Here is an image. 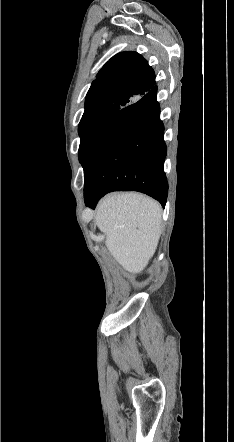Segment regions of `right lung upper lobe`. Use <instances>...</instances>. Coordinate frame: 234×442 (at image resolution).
I'll return each mask as SVG.
<instances>
[{
	"label": "right lung upper lobe",
	"instance_id": "1",
	"mask_svg": "<svg viewBox=\"0 0 234 442\" xmlns=\"http://www.w3.org/2000/svg\"><path fill=\"white\" fill-rule=\"evenodd\" d=\"M155 85V73L137 52L113 56L98 72L86 95L83 118L118 112Z\"/></svg>",
	"mask_w": 234,
	"mask_h": 442
}]
</instances>
